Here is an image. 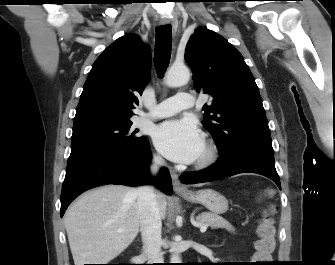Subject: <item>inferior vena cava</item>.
<instances>
[{"mask_svg":"<svg viewBox=\"0 0 335 265\" xmlns=\"http://www.w3.org/2000/svg\"><path fill=\"white\" fill-rule=\"evenodd\" d=\"M163 161L154 157L151 170L156 173ZM140 214V231L143 242V254L152 263H163L161 252V216L153 187L142 186L137 189Z\"/></svg>","mask_w":335,"mask_h":265,"instance_id":"obj_1","label":"inferior vena cava"}]
</instances>
